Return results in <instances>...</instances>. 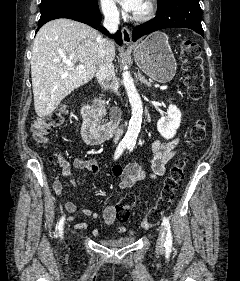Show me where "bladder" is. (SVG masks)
<instances>
[{
	"label": "bladder",
	"mask_w": 240,
	"mask_h": 281,
	"mask_svg": "<svg viewBox=\"0 0 240 281\" xmlns=\"http://www.w3.org/2000/svg\"><path fill=\"white\" fill-rule=\"evenodd\" d=\"M136 240L134 235H126L116 239H108L101 241L104 246L109 248H123L133 244Z\"/></svg>",
	"instance_id": "obj_1"
}]
</instances>
